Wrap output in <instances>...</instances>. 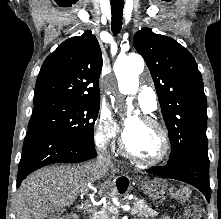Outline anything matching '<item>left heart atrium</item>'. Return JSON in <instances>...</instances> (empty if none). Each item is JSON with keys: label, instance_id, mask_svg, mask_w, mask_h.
Here are the masks:
<instances>
[{"label": "left heart atrium", "instance_id": "1", "mask_svg": "<svg viewBox=\"0 0 221 219\" xmlns=\"http://www.w3.org/2000/svg\"><path fill=\"white\" fill-rule=\"evenodd\" d=\"M127 134V127H125L124 131H123V136H125Z\"/></svg>", "mask_w": 221, "mask_h": 219}]
</instances>
